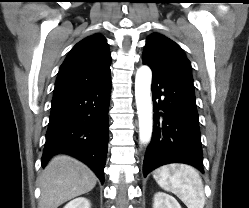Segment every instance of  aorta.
I'll return each mask as SVG.
<instances>
[{
    "mask_svg": "<svg viewBox=\"0 0 249 208\" xmlns=\"http://www.w3.org/2000/svg\"><path fill=\"white\" fill-rule=\"evenodd\" d=\"M152 72L148 66L137 70L135 78V98L139 119V137L143 144L150 141L152 135V99H151Z\"/></svg>",
    "mask_w": 249,
    "mask_h": 208,
    "instance_id": "762f6f07",
    "label": "aorta"
}]
</instances>
